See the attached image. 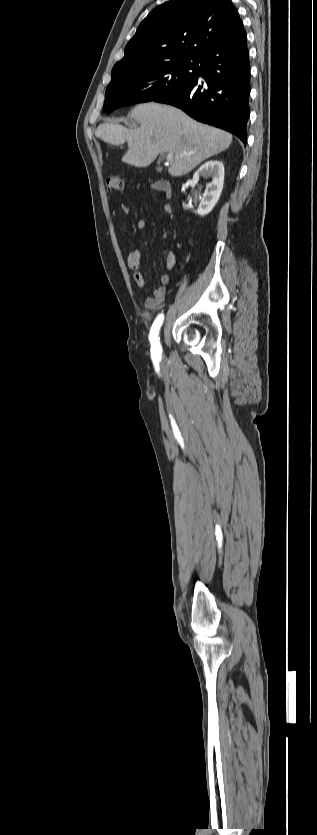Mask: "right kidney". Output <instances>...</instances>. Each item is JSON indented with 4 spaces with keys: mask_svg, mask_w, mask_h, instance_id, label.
I'll return each mask as SVG.
<instances>
[{
    "mask_svg": "<svg viewBox=\"0 0 317 835\" xmlns=\"http://www.w3.org/2000/svg\"><path fill=\"white\" fill-rule=\"evenodd\" d=\"M202 176H211V183L207 184L205 194L201 198L198 209L195 211L200 216H205L212 211L218 202L224 184V166L219 160H210L200 166L193 175V182L197 183ZM190 208H192L190 206Z\"/></svg>",
    "mask_w": 317,
    "mask_h": 835,
    "instance_id": "ca27d5eb",
    "label": "right kidney"
}]
</instances>
